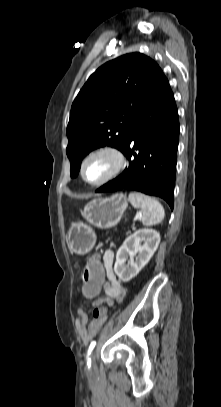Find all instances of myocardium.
I'll return each mask as SVG.
<instances>
[{
    "instance_id": "myocardium-1",
    "label": "myocardium",
    "mask_w": 221,
    "mask_h": 407,
    "mask_svg": "<svg viewBox=\"0 0 221 407\" xmlns=\"http://www.w3.org/2000/svg\"><path fill=\"white\" fill-rule=\"evenodd\" d=\"M100 154H109L114 158V160H115L114 169L102 180L97 181V182H90L85 178V175H84L85 165L92 157L100 155ZM126 166H127V156L124 153V151L117 146L106 145V146H102V147H99V148L93 150L83 159L81 166H80V176L85 183H87L91 186H102V185L114 180L119 175H121L122 172L125 170Z\"/></svg>"
}]
</instances>
